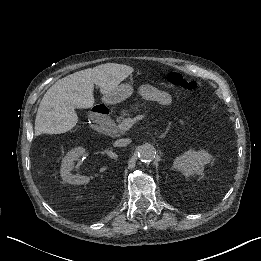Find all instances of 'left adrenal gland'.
Listing matches in <instances>:
<instances>
[{
	"label": "left adrenal gland",
	"mask_w": 261,
	"mask_h": 261,
	"mask_svg": "<svg viewBox=\"0 0 261 261\" xmlns=\"http://www.w3.org/2000/svg\"><path fill=\"white\" fill-rule=\"evenodd\" d=\"M169 133V131H165L163 134L159 135L158 138H164Z\"/></svg>",
	"instance_id": "a2214340"
}]
</instances>
